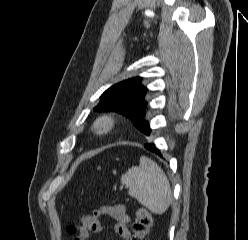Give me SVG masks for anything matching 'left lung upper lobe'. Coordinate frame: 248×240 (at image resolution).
Returning a JSON list of instances; mask_svg holds the SVG:
<instances>
[{
  "mask_svg": "<svg viewBox=\"0 0 248 240\" xmlns=\"http://www.w3.org/2000/svg\"><path fill=\"white\" fill-rule=\"evenodd\" d=\"M141 77L117 83L101 95L94 111H115L130 119L133 125L145 135L150 132L149 122L144 119L147 102L144 97L147 88L141 85Z\"/></svg>",
  "mask_w": 248,
  "mask_h": 240,
  "instance_id": "1",
  "label": "left lung upper lobe"
}]
</instances>
